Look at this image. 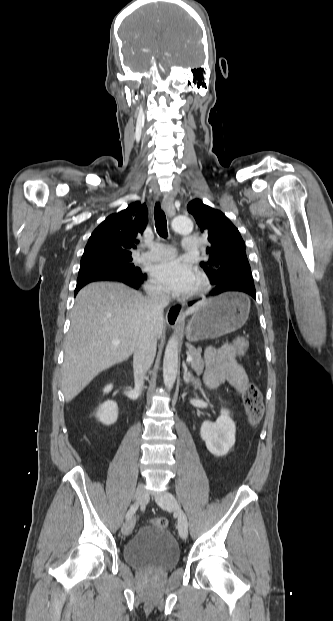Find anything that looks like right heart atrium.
Here are the masks:
<instances>
[{"label": "right heart atrium", "mask_w": 333, "mask_h": 621, "mask_svg": "<svg viewBox=\"0 0 333 621\" xmlns=\"http://www.w3.org/2000/svg\"><path fill=\"white\" fill-rule=\"evenodd\" d=\"M147 290L152 296L157 298H164L166 296V292L163 288L152 281L147 284Z\"/></svg>", "instance_id": "d8ad5b80"}]
</instances>
